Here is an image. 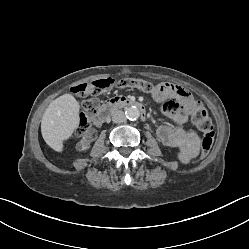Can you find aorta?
<instances>
[{
  "label": "aorta",
  "mask_w": 249,
  "mask_h": 249,
  "mask_svg": "<svg viewBox=\"0 0 249 249\" xmlns=\"http://www.w3.org/2000/svg\"><path fill=\"white\" fill-rule=\"evenodd\" d=\"M125 115L129 120H136L140 116V111L137 107H128L125 111Z\"/></svg>",
  "instance_id": "762f6f07"
}]
</instances>
